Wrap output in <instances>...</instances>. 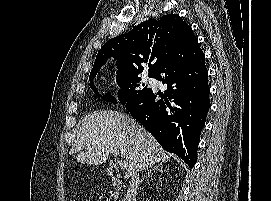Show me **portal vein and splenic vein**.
<instances>
[{
  "instance_id": "1",
  "label": "portal vein and splenic vein",
  "mask_w": 271,
  "mask_h": 201,
  "mask_svg": "<svg viewBox=\"0 0 271 201\" xmlns=\"http://www.w3.org/2000/svg\"><path fill=\"white\" fill-rule=\"evenodd\" d=\"M116 156L118 155L120 158L122 157V156H120V154H115ZM118 163H119V165H120V168L122 169V170H124V169H126L127 167H128V162L127 161H123L122 159H119L118 160Z\"/></svg>"
}]
</instances>
